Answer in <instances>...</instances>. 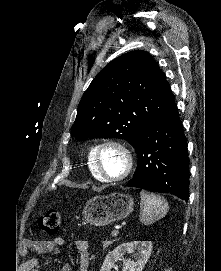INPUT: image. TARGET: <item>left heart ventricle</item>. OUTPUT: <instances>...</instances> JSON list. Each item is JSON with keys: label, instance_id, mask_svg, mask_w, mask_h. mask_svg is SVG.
I'll list each match as a JSON object with an SVG mask.
<instances>
[{"label": "left heart ventricle", "instance_id": "1", "mask_svg": "<svg viewBox=\"0 0 221 271\" xmlns=\"http://www.w3.org/2000/svg\"><path fill=\"white\" fill-rule=\"evenodd\" d=\"M105 153L101 163H103L102 169L106 173L105 177H121L122 169L125 166L120 164V156H123L121 152H118V147H103Z\"/></svg>", "mask_w": 221, "mask_h": 271}]
</instances>
